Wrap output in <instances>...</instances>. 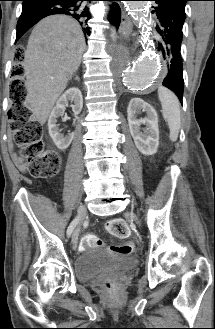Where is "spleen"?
I'll use <instances>...</instances> for the list:
<instances>
[{"instance_id": "1", "label": "spleen", "mask_w": 215, "mask_h": 329, "mask_svg": "<svg viewBox=\"0 0 215 329\" xmlns=\"http://www.w3.org/2000/svg\"><path fill=\"white\" fill-rule=\"evenodd\" d=\"M158 98L162 105V113L170 130V140L175 142L178 138L181 116L179 101L176 95L165 87H159Z\"/></svg>"}]
</instances>
